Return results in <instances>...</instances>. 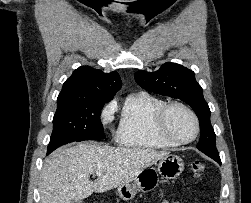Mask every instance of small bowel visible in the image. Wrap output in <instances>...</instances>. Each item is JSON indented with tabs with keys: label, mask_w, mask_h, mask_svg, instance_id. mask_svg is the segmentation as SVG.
Masks as SVG:
<instances>
[{
	"label": "small bowel",
	"mask_w": 251,
	"mask_h": 203,
	"mask_svg": "<svg viewBox=\"0 0 251 203\" xmlns=\"http://www.w3.org/2000/svg\"><path fill=\"white\" fill-rule=\"evenodd\" d=\"M161 203H170V202H169V201H167V200H162V201H161ZM172 203H179V202L174 201V202H172Z\"/></svg>",
	"instance_id": "obj_1"
}]
</instances>
